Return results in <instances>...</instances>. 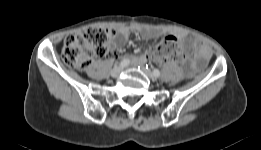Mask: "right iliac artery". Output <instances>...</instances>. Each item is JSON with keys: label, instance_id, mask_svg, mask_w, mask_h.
I'll return each instance as SVG.
<instances>
[{"label": "right iliac artery", "instance_id": "obj_1", "mask_svg": "<svg viewBox=\"0 0 261 150\" xmlns=\"http://www.w3.org/2000/svg\"><path fill=\"white\" fill-rule=\"evenodd\" d=\"M129 62H130L129 59H124V60L121 61L120 66L121 67H125V66H127L129 64Z\"/></svg>", "mask_w": 261, "mask_h": 150}]
</instances>
